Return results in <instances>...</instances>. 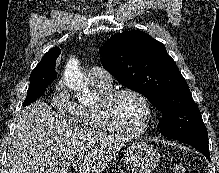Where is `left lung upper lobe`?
I'll list each match as a JSON object with an SVG mask.
<instances>
[{
    "mask_svg": "<svg viewBox=\"0 0 219 173\" xmlns=\"http://www.w3.org/2000/svg\"><path fill=\"white\" fill-rule=\"evenodd\" d=\"M99 50L105 69L163 113L159 122L162 135L208 142L206 126L186 80L161 42L135 30L112 36Z\"/></svg>",
    "mask_w": 219,
    "mask_h": 173,
    "instance_id": "1",
    "label": "left lung upper lobe"
}]
</instances>
